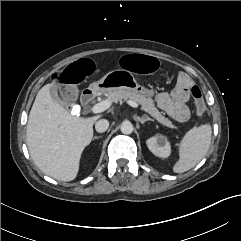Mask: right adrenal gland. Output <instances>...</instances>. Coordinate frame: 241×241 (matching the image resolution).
I'll return each instance as SVG.
<instances>
[{
    "mask_svg": "<svg viewBox=\"0 0 241 241\" xmlns=\"http://www.w3.org/2000/svg\"><path fill=\"white\" fill-rule=\"evenodd\" d=\"M99 138H101V137H97V136L94 137V139H99Z\"/></svg>",
    "mask_w": 241,
    "mask_h": 241,
    "instance_id": "obj_1",
    "label": "right adrenal gland"
}]
</instances>
